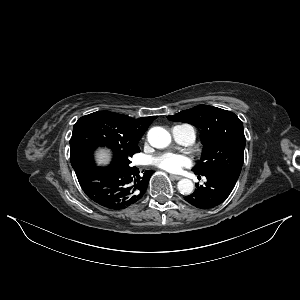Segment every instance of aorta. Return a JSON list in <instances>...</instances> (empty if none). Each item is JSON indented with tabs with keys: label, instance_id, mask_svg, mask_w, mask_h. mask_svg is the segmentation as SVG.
<instances>
[{
	"label": "aorta",
	"instance_id": "1",
	"mask_svg": "<svg viewBox=\"0 0 300 300\" xmlns=\"http://www.w3.org/2000/svg\"><path fill=\"white\" fill-rule=\"evenodd\" d=\"M148 141L155 148H165L171 142V136L167 130L162 127H153L148 131ZM177 188L183 195H190L194 190V184L190 179H181Z\"/></svg>",
	"mask_w": 300,
	"mask_h": 300
}]
</instances>
